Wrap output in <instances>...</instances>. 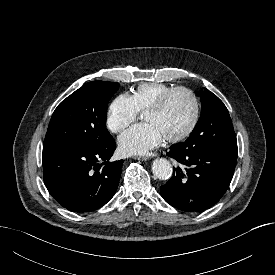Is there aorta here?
Returning a JSON list of instances; mask_svg holds the SVG:
<instances>
[{
  "instance_id": "aorta-1",
  "label": "aorta",
  "mask_w": 275,
  "mask_h": 275,
  "mask_svg": "<svg viewBox=\"0 0 275 275\" xmlns=\"http://www.w3.org/2000/svg\"><path fill=\"white\" fill-rule=\"evenodd\" d=\"M152 172L160 180L171 177L173 169L170 162L165 158H157L152 163Z\"/></svg>"
}]
</instances>
